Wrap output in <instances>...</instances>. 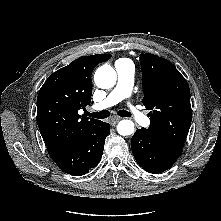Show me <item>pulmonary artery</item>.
<instances>
[{
	"mask_svg": "<svg viewBox=\"0 0 221 221\" xmlns=\"http://www.w3.org/2000/svg\"><path fill=\"white\" fill-rule=\"evenodd\" d=\"M117 84L109 95L102 101L94 105V109L101 111L117 104L118 102L129 98L134 81V66L130 62L116 63ZM130 113L133 119L140 125L148 126L150 119L138 108L129 105Z\"/></svg>",
	"mask_w": 221,
	"mask_h": 221,
	"instance_id": "1",
	"label": "pulmonary artery"
}]
</instances>
